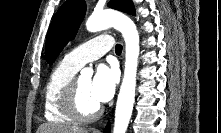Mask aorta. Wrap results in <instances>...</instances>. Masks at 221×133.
Here are the masks:
<instances>
[{
    "instance_id": "1",
    "label": "aorta",
    "mask_w": 221,
    "mask_h": 133,
    "mask_svg": "<svg viewBox=\"0 0 221 133\" xmlns=\"http://www.w3.org/2000/svg\"><path fill=\"white\" fill-rule=\"evenodd\" d=\"M114 27L122 33L125 41L124 76L117 98L113 133H126L135 101L136 75L139 57V34L134 22L126 15L106 10L92 14L86 28L90 32L101 31ZM83 75H92L90 68L83 69Z\"/></svg>"
}]
</instances>
